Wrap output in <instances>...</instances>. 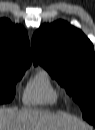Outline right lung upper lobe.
Listing matches in <instances>:
<instances>
[{"instance_id": "1", "label": "right lung upper lobe", "mask_w": 95, "mask_h": 130, "mask_svg": "<svg viewBox=\"0 0 95 130\" xmlns=\"http://www.w3.org/2000/svg\"><path fill=\"white\" fill-rule=\"evenodd\" d=\"M32 62L26 31L9 20L0 21V69H26Z\"/></svg>"}]
</instances>
